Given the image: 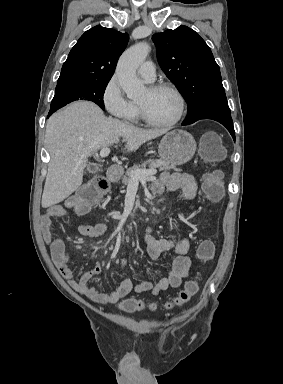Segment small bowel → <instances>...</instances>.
<instances>
[{"mask_svg":"<svg viewBox=\"0 0 283 384\" xmlns=\"http://www.w3.org/2000/svg\"><path fill=\"white\" fill-rule=\"evenodd\" d=\"M182 190L183 198L191 200L197 192V183L193 176L181 173H164L153 184V190L156 193H162L165 190L175 191ZM65 207L60 204L50 206L41 219V229L44 240L50 248L52 260L58 271L69 285L81 295L100 304H115L128 296L131 292L144 293L151 292L157 295L169 288H178L183 280L188 276L191 260L188 256L190 242L187 238L175 241L168 238H155L152 235V227H148L145 231V243L147 246V255L150 260H158L164 252L173 251L176 254L170 265L169 274L159 280H146L137 285H133L131 279L124 278L119 285L109 291L102 292L96 287L90 286L89 282L101 273V264L97 263L95 267L82 274L79 279H74L73 273L69 268V258L65 254L64 242L54 236L51 224L52 219L65 215ZM79 233L90 238L103 236L107 232L105 223H84L78 228ZM126 259H121V266L124 267Z\"/></svg>","mask_w":283,"mask_h":384,"instance_id":"1","label":"small bowel"}]
</instances>
